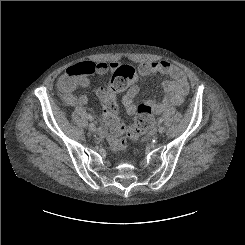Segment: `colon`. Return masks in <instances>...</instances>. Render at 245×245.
Returning a JSON list of instances; mask_svg holds the SVG:
<instances>
[{
	"instance_id": "1",
	"label": "colon",
	"mask_w": 245,
	"mask_h": 245,
	"mask_svg": "<svg viewBox=\"0 0 245 245\" xmlns=\"http://www.w3.org/2000/svg\"><path fill=\"white\" fill-rule=\"evenodd\" d=\"M95 70L94 63H77L69 68L70 77L62 81V87L65 90H71L81 85L85 76L92 74ZM138 75L133 68L124 67L116 76L113 77L110 85V94L103 102V115L106 124L110 129L109 141L116 150H125L127 147L126 134L136 136L148 131L153 125V114L148 104H140L137 107V114L132 128L124 126L118 112V104L115 95L123 91L128 86L136 83Z\"/></svg>"
}]
</instances>
